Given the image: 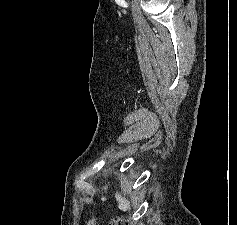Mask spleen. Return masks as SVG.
Here are the masks:
<instances>
[{"label": "spleen", "mask_w": 237, "mask_h": 225, "mask_svg": "<svg viewBox=\"0 0 237 225\" xmlns=\"http://www.w3.org/2000/svg\"><path fill=\"white\" fill-rule=\"evenodd\" d=\"M115 198L118 202V208L122 211L130 210V202L126 198L122 197L119 193H116Z\"/></svg>", "instance_id": "3e777b00"}]
</instances>
